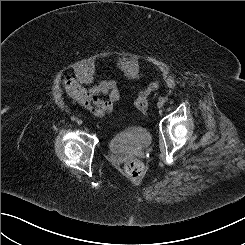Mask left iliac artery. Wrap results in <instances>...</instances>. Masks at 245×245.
Instances as JSON below:
<instances>
[{"instance_id":"left-iliac-artery-1","label":"left iliac artery","mask_w":245,"mask_h":245,"mask_svg":"<svg viewBox=\"0 0 245 245\" xmlns=\"http://www.w3.org/2000/svg\"><path fill=\"white\" fill-rule=\"evenodd\" d=\"M161 101H162V103H166L167 102V98L163 97V98H161Z\"/></svg>"}]
</instances>
